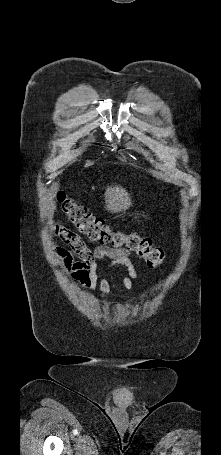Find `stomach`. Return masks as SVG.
Here are the masks:
<instances>
[{
    "mask_svg": "<svg viewBox=\"0 0 221 455\" xmlns=\"http://www.w3.org/2000/svg\"><path fill=\"white\" fill-rule=\"evenodd\" d=\"M137 218H138L137 216L134 217V219H137Z\"/></svg>",
    "mask_w": 221,
    "mask_h": 455,
    "instance_id": "obj_1",
    "label": "stomach"
}]
</instances>
